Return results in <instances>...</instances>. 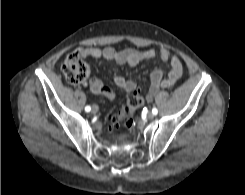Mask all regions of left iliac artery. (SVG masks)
<instances>
[{
  "label": "left iliac artery",
  "instance_id": "1",
  "mask_svg": "<svg viewBox=\"0 0 245 195\" xmlns=\"http://www.w3.org/2000/svg\"><path fill=\"white\" fill-rule=\"evenodd\" d=\"M152 113H153L154 115H157L158 110H157L156 108H153V109H152Z\"/></svg>",
  "mask_w": 245,
  "mask_h": 195
}]
</instances>
